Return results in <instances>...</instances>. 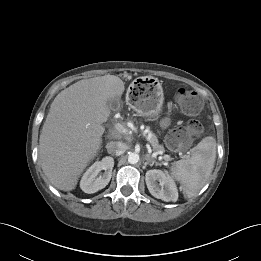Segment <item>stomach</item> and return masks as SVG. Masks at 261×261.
<instances>
[{"label": "stomach", "instance_id": "stomach-1", "mask_svg": "<svg viewBox=\"0 0 261 261\" xmlns=\"http://www.w3.org/2000/svg\"><path fill=\"white\" fill-rule=\"evenodd\" d=\"M135 82V83H134ZM129 91L128 103L133 109L148 120H155L162 111L164 103V93L161 83L156 78H141L136 83L134 81Z\"/></svg>", "mask_w": 261, "mask_h": 261}]
</instances>
